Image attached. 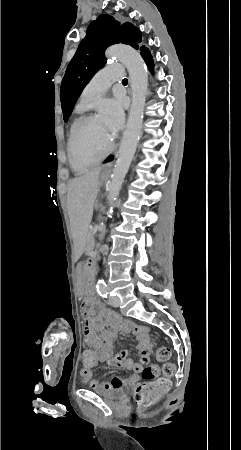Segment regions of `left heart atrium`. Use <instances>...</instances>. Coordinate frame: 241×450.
I'll return each instance as SVG.
<instances>
[{"instance_id": "left-heart-atrium-1", "label": "left heart atrium", "mask_w": 241, "mask_h": 450, "mask_svg": "<svg viewBox=\"0 0 241 450\" xmlns=\"http://www.w3.org/2000/svg\"><path fill=\"white\" fill-rule=\"evenodd\" d=\"M107 105L111 114L110 127L114 132H117L123 127L124 123L123 106L114 101L108 102Z\"/></svg>"}]
</instances>
